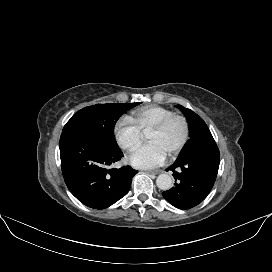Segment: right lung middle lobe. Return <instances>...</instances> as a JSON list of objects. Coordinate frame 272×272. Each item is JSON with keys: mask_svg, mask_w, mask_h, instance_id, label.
I'll use <instances>...</instances> for the list:
<instances>
[{"mask_svg": "<svg viewBox=\"0 0 272 272\" xmlns=\"http://www.w3.org/2000/svg\"><path fill=\"white\" fill-rule=\"evenodd\" d=\"M140 103L96 104L76 112L63 128L62 134L80 132L92 135L112 147H118L114 126L120 116Z\"/></svg>", "mask_w": 272, "mask_h": 272, "instance_id": "right-lung-middle-lobe-1", "label": "right lung middle lobe"}]
</instances>
